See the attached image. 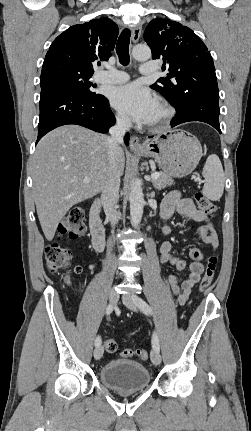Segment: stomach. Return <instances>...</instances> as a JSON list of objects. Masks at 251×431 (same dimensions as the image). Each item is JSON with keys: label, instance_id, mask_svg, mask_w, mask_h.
<instances>
[{"label": "stomach", "instance_id": "1", "mask_svg": "<svg viewBox=\"0 0 251 431\" xmlns=\"http://www.w3.org/2000/svg\"><path fill=\"white\" fill-rule=\"evenodd\" d=\"M137 154L154 158L164 174L174 178L192 173L203 155L199 140L185 130L165 132L146 142Z\"/></svg>", "mask_w": 251, "mask_h": 431}]
</instances>
